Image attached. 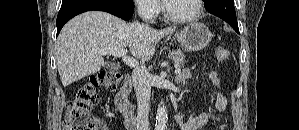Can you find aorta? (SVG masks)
<instances>
[{
  "instance_id": "obj_1",
  "label": "aorta",
  "mask_w": 299,
  "mask_h": 130,
  "mask_svg": "<svg viewBox=\"0 0 299 130\" xmlns=\"http://www.w3.org/2000/svg\"><path fill=\"white\" fill-rule=\"evenodd\" d=\"M167 126V110L163 103L158 106L155 130H165Z\"/></svg>"
}]
</instances>
